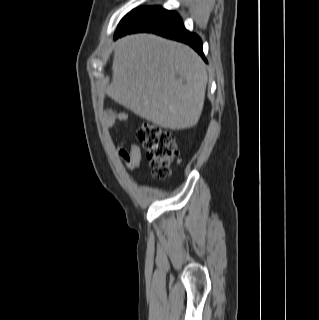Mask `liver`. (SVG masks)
<instances>
[{
	"instance_id": "1",
	"label": "liver",
	"mask_w": 319,
	"mask_h": 320,
	"mask_svg": "<svg viewBox=\"0 0 319 320\" xmlns=\"http://www.w3.org/2000/svg\"><path fill=\"white\" fill-rule=\"evenodd\" d=\"M112 73L107 94L139 117L170 130L198 123L208 76L189 46L154 34L127 35L116 43Z\"/></svg>"
}]
</instances>
